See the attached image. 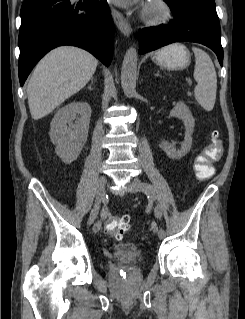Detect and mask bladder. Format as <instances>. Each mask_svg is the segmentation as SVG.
<instances>
[{"label":"bladder","mask_w":245,"mask_h":319,"mask_svg":"<svg viewBox=\"0 0 245 319\" xmlns=\"http://www.w3.org/2000/svg\"><path fill=\"white\" fill-rule=\"evenodd\" d=\"M111 258L115 261L136 262L141 258V248L132 242H120L114 246Z\"/></svg>","instance_id":"obj_1"}]
</instances>
